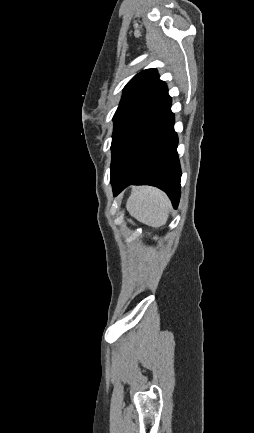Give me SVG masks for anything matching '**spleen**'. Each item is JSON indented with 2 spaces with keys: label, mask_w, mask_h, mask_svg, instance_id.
Listing matches in <instances>:
<instances>
[{
  "label": "spleen",
  "mask_w": 254,
  "mask_h": 433,
  "mask_svg": "<svg viewBox=\"0 0 254 433\" xmlns=\"http://www.w3.org/2000/svg\"><path fill=\"white\" fill-rule=\"evenodd\" d=\"M170 207L166 194L149 186L134 189L126 204L131 216L151 227L166 224Z\"/></svg>",
  "instance_id": "spleen-1"
}]
</instances>
